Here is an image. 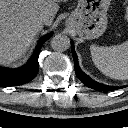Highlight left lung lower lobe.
<instances>
[{
	"instance_id": "left-lung-lower-lobe-1",
	"label": "left lung lower lobe",
	"mask_w": 128,
	"mask_h": 128,
	"mask_svg": "<svg viewBox=\"0 0 128 128\" xmlns=\"http://www.w3.org/2000/svg\"><path fill=\"white\" fill-rule=\"evenodd\" d=\"M71 49H72V54H73V59H74L75 73L82 83H84L86 86L92 89L101 90V91H111V90L119 89L116 87L106 86V85H103V84H100V83H97L91 80V78H89L86 74H84L79 68L78 59H77V55L74 49L73 42H71Z\"/></svg>"
}]
</instances>
